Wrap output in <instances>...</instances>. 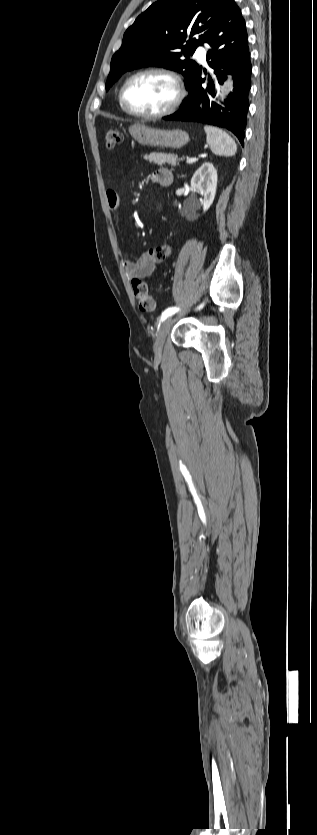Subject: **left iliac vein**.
I'll use <instances>...</instances> for the list:
<instances>
[{"mask_svg":"<svg viewBox=\"0 0 317 835\" xmlns=\"http://www.w3.org/2000/svg\"><path fill=\"white\" fill-rule=\"evenodd\" d=\"M172 324H173L172 319H167L161 324V326L159 328V331H158V334L156 336L154 347H153L154 352L156 353V355L161 354V352L163 350L165 340H166V337H167V335H168V333L171 329Z\"/></svg>","mask_w":317,"mask_h":835,"instance_id":"left-iliac-vein-1","label":"left iliac vein"}]
</instances>
